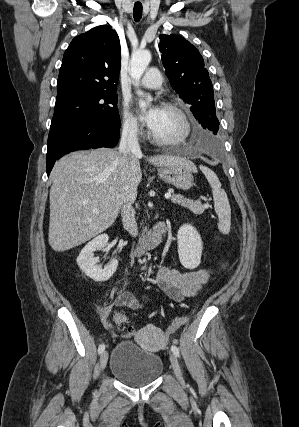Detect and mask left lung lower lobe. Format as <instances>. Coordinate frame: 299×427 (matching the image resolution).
Instances as JSON below:
<instances>
[{
  "label": "left lung lower lobe",
  "instance_id": "obj_1",
  "mask_svg": "<svg viewBox=\"0 0 299 427\" xmlns=\"http://www.w3.org/2000/svg\"><path fill=\"white\" fill-rule=\"evenodd\" d=\"M199 123L201 124V126H202L204 129H206V128H207V126H208V125H206V120H205V119H204V120L199 121Z\"/></svg>",
  "mask_w": 299,
  "mask_h": 427
}]
</instances>
